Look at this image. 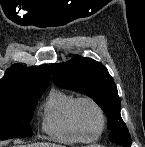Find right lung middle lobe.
I'll list each match as a JSON object with an SVG mask.
<instances>
[{
  "mask_svg": "<svg viewBox=\"0 0 145 147\" xmlns=\"http://www.w3.org/2000/svg\"><path fill=\"white\" fill-rule=\"evenodd\" d=\"M47 87L27 88L0 94V140L30 137V121Z\"/></svg>",
  "mask_w": 145,
  "mask_h": 147,
  "instance_id": "dd1d6c3e",
  "label": "right lung middle lobe"
}]
</instances>
